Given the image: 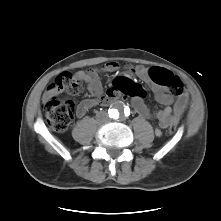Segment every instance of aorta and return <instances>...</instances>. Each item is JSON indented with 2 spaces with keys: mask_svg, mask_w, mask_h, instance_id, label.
<instances>
[{
  "mask_svg": "<svg viewBox=\"0 0 221 221\" xmlns=\"http://www.w3.org/2000/svg\"><path fill=\"white\" fill-rule=\"evenodd\" d=\"M114 112H115V113H114V118H118V116H119L118 111L115 109Z\"/></svg>",
  "mask_w": 221,
  "mask_h": 221,
  "instance_id": "aorta-1",
  "label": "aorta"
}]
</instances>
